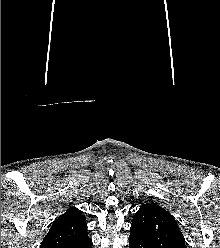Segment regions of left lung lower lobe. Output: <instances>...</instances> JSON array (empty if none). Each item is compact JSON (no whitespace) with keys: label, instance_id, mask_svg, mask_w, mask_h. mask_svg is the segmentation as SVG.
Masks as SVG:
<instances>
[{"label":"left lung lower lobe","instance_id":"1","mask_svg":"<svg viewBox=\"0 0 220 248\" xmlns=\"http://www.w3.org/2000/svg\"><path fill=\"white\" fill-rule=\"evenodd\" d=\"M129 246L130 248H154L132 229H130Z\"/></svg>","mask_w":220,"mask_h":248}]
</instances>
